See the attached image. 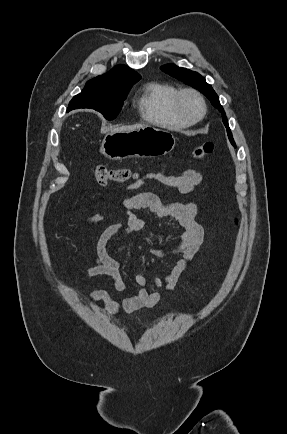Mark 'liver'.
I'll return each instance as SVG.
<instances>
[{
  "mask_svg": "<svg viewBox=\"0 0 287 434\" xmlns=\"http://www.w3.org/2000/svg\"><path fill=\"white\" fill-rule=\"evenodd\" d=\"M141 127H144V125L138 124V125H132V126H122L119 128L112 129L111 132L133 131V130L141 128Z\"/></svg>",
  "mask_w": 287,
  "mask_h": 434,
  "instance_id": "liver-1",
  "label": "liver"
}]
</instances>
